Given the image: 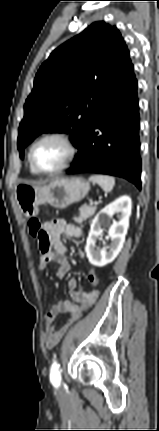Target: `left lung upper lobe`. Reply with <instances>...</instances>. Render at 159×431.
<instances>
[{
    "mask_svg": "<svg viewBox=\"0 0 159 431\" xmlns=\"http://www.w3.org/2000/svg\"><path fill=\"white\" fill-rule=\"evenodd\" d=\"M132 65L116 27L95 22L56 48L38 70L25 102L18 149L39 134L65 132L77 147L89 122Z\"/></svg>",
    "mask_w": 159,
    "mask_h": 431,
    "instance_id": "1",
    "label": "left lung upper lobe"
}]
</instances>
